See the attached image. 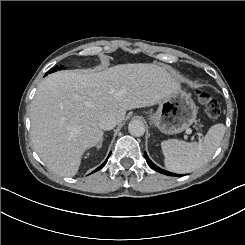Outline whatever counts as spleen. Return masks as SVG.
Masks as SVG:
<instances>
[{"instance_id":"spleen-1","label":"spleen","mask_w":245,"mask_h":245,"mask_svg":"<svg viewBox=\"0 0 245 245\" xmlns=\"http://www.w3.org/2000/svg\"><path fill=\"white\" fill-rule=\"evenodd\" d=\"M225 135L223 125L213 126L201 143L172 138L162 142L170 171L183 174L202 168L213 157Z\"/></svg>"}]
</instances>
